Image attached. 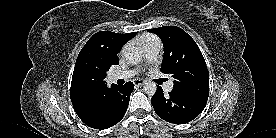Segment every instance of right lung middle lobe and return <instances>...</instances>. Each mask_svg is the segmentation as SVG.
I'll return each instance as SVG.
<instances>
[{"instance_id": "obj_1", "label": "right lung middle lobe", "mask_w": 276, "mask_h": 138, "mask_svg": "<svg viewBox=\"0 0 276 138\" xmlns=\"http://www.w3.org/2000/svg\"><path fill=\"white\" fill-rule=\"evenodd\" d=\"M110 67H104L102 69H94L86 71L83 74V79L87 82L101 81L106 77V71L109 70Z\"/></svg>"}]
</instances>
